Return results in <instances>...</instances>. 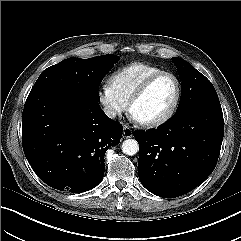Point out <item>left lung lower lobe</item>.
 <instances>
[{
	"mask_svg": "<svg viewBox=\"0 0 241 241\" xmlns=\"http://www.w3.org/2000/svg\"><path fill=\"white\" fill-rule=\"evenodd\" d=\"M223 135L222 109L213 105L187 107L157 129L136 130L142 185L163 198L195 189L214 170Z\"/></svg>",
	"mask_w": 241,
	"mask_h": 241,
	"instance_id": "obj_1",
	"label": "left lung lower lobe"
}]
</instances>
